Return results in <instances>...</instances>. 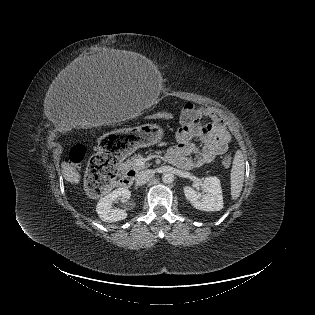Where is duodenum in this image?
<instances>
[{
  "instance_id": "1",
  "label": "duodenum",
  "mask_w": 315,
  "mask_h": 315,
  "mask_svg": "<svg viewBox=\"0 0 315 315\" xmlns=\"http://www.w3.org/2000/svg\"><path fill=\"white\" fill-rule=\"evenodd\" d=\"M136 175V172L128 167H122V176L118 180L117 184L119 187H129L132 183L133 177Z\"/></svg>"
}]
</instances>
